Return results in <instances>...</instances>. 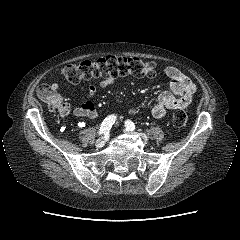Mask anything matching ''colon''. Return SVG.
<instances>
[{"mask_svg": "<svg viewBox=\"0 0 240 240\" xmlns=\"http://www.w3.org/2000/svg\"><path fill=\"white\" fill-rule=\"evenodd\" d=\"M156 73L154 62L143 61L135 57L117 56H107L94 61L87 60L79 64L68 65L63 71L65 79L74 85L96 78L154 77ZM38 95L51 110H58L62 104L60 95L50 84H42L38 88ZM172 122L176 127H184L188 122L187 113L175 112Z\"/></svg>", "mask_w": 240, "mask_h": 240, "instance_id": "obj_1", "label": "colon"}]
</instances>
